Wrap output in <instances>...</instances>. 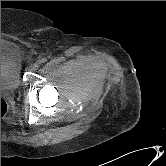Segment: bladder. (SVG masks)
<instances>
[{
	"instance_id": "obj_1",
	"label": "bladder",
	"mask_w": 166,
	"mask_h": 166,
	"mask_svg": "<svg viewBox=\"0 0 166 166\" xmlns=\"http://www.w3.org/2000/svg\"><path fill=\"white\" fill-rule=\"evenodd\" d=\"M22 82V59L16 43L1 39V91H14Z\"/></svg>"
}]
</instances>
